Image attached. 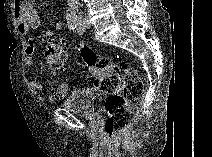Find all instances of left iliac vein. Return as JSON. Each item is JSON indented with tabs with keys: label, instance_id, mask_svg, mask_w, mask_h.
Here are the masks:
<instances>
[{
	"label": "left iliac vein",
	"instance_id": "obj_1",
	"mask_svg": "<svg viewBox=\"0 0 212 157\" xmlns=\"http://www.w3.org/2000/svg\"><path fill=\"white\" fill-rule=\"evenodd\" d=\"M80 23H81V26L84 28V29H88L91 27V23L89 22V20L87 18H80L79 19Z\"/></svg>",
	"mask_w": 212,
	"mask_h": 157
}]
</instances>
